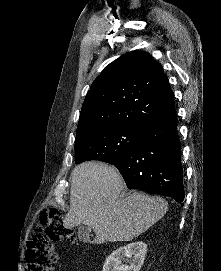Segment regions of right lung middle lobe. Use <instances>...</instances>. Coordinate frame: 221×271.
<instances>
[{"label": "right lung middle lobe", "instance_id": "1", "mask_svg": "<svg viewBox=\"0 0 221 271\" xmlns=\"http://www.w3.org/2000/svg\"><path fill=\"white\" fill-rule=\"evenodd\" d=\"M143 131L137 126L116 125L80 136L75 141V162L99 160L112 164L137 144Z\"/></svg>", "mask_w": 221, "mask_h": 271}]
</instances>
